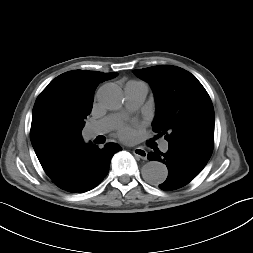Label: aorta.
Returning a JSON list of instances; mask_svg holds the SVG:
<instances>
[{
    "label": "aorta",
    "mask_w": 253,
    "mask_h": 253,
    "mask_svg": "<svg viewBox=\"0 0 253 253\" xmlns=\"http://www.w3.org/2000/svg\"><path fill=\"white\" fill-rule=\"evenodd\" d=\"M97 100L105 109L117 110L123 104V93L115 84L103 85L97 92ZM142 176L151 185L162 184L167 176L168 170L165 164L158 161H150L142 168Z\"/></svg>",
    "instance_id": "1"
}]
</instances>
